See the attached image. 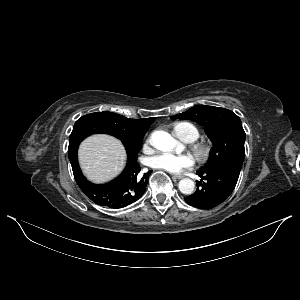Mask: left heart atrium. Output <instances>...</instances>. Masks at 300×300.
Instances as JSON below:
<instances>
[{"label": "left heart atrium", "mask_w": 300, "mask_h": 300, "mask_svg": "<svg viewBox=\"0 0 300 300\" xmlns=\"http://www.w3.org/2000/svg\"><path fill=\"white\" fill-rule=\"evenodd\" d=\"M195 159L189 154H174L161 152L152 155L148 159V165L155 169L164 170L170 173H179L193 167Z\"/></svg>", "instance_id": "obj_1"}]
</instances>
